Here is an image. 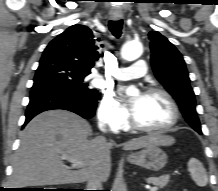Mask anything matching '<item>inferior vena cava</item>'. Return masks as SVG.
<instances>
[{
	"label": "inferior vena cava",
	"mask_w": 218,
	"mask_h": 191,
	"mask_svg": "<svg viewBox=\"0 0 218 191\" xmlns=\"http://www.w3.org/2000/svg\"><path fill=\"white\" fill-rule=\"evenodd\" d=\"M99 128L102 132H106L105 124L100 123ZM102 175L100 172H92L87 180V190H102Z\"/></svg>",
	"instance_id": "obj_1"
}]
</instances>
